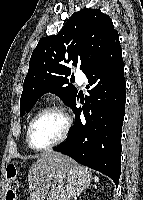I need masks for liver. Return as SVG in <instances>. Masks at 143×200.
Here are the masks:
<instances>
[{
  "label": "liver",
  "instance_id": "obj_1",
  "mask_svg": "<svg viewBox=\"0 0 143 200\" xmlns=\"http://www.w3.org/2000/svg\"><path fill=\"white\" fill-rule=\"evenodd\" d=\"M72 163H75L73 159L61 153H44L33 163L28 173L30 200H44L55 173Z\"/></svg>",
  "mask_w": 143,
  "mask_h": 200
}]
</instances>
